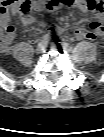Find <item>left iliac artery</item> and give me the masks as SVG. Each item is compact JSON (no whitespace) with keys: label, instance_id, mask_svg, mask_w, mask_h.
Returning a JSON list of instances; mask_svg holds the SVG:
<instances>
[{"label":"left iliac artery","instance_id":"1","mask_svg":"<svg viewBox=\"0 0 104 137\" xmlns=\"http://www.w3.org/2000/svg\"><path fill=\"white\" fill-rule=\"evenodd\" d=\"M62 47H63V49L67 50V49H69V44L66 42H63Z\"/></svg>","mask_w":104,"mask_h":137}]
</instances>
